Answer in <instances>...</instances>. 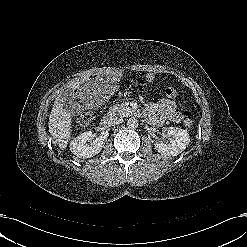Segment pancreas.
Returning <instances> with one entry per match:
<instances>
[{"label": "pancreas", "mask_w": 247, "mask_h": 247, "mask_svg": "<svg viewBox=\"0 0 247 247\" xmlns=\"http://www.w3.org/2000/svg\"><path fill=\"white\" fill-rule=\"evenodd\" d=\"M110 111L116 114H119L120 116H123V117L131 116L135 114V111L129 107L128 103L113 105L110 108Z\"/></svg>", "instance_id": "pancreas-1"}]
</instances>
